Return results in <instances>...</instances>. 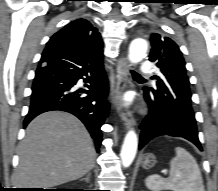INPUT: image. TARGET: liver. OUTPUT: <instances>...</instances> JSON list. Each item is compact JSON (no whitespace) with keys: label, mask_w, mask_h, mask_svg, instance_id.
Returning <instances> with one entry per match:
<instances>
[{"label":"liver","mask_w":218,"mask_h":191,"mask_svg":"<svg viewBox=\"0 0 218 191\" xmlns=\"http://www.w3.org/2000/svg\"><path fill=\"white\" fill-rule=\"evenodd\" d=\"M18 154L16 183L22 188L47 189L77 180L94 167L96 158L82 122L59 111L43 113L30 122Z\"/></svg>","instance_id":"obj_1"}]
</instances>
